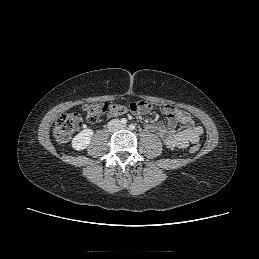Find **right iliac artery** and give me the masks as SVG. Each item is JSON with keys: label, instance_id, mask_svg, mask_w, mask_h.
I'll list each match as a JSON object with an SVG mask.
<instances>
[{"label": "right iliac artery", "instance_id": "1", "mask_svg": "<svg viewBox=\"0 0 259 259\" xmlns=\"http://www.w3.org/2000/svg\"><path fill=\"white\" fill-rule=\"evenodd\" d=\"M121 123L125 125L127 123V119L126 118H122L121 119Z\"/></svg>", "mask_w": 259, "mask_h": 259}]
</instances>
